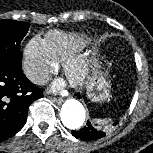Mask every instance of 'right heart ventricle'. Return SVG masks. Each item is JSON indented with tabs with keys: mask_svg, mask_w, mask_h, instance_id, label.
Instances as JSON below:
<instances>
[{
	"mask_svg": "<svg viewBox=\"0 0 153 153\" xmlns=\"http://www.w3.org/2000/svg\"><path fill=\"white\" fill-rule=\"evenodd\" d=\"M45 42L57 63H65L75 57L89 43L88 38L83 34L61 31L49 32Z\"/></svg>",
	"mask_w": 153,
	"mask_h": 153,
	"instance_id": "e07e8e85",
	"label": "right heart ventricle"
}]
</instances>
